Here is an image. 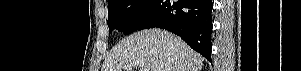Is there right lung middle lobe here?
<instances>
[{"label": "right lung middle lobe", "mask_w": 301, "mask_h": 71, "mask_svg": "<svg viewBox=\"0 0 301 71\" xmlns=\"http://www.w3.org/2000/svg\"><path fill=\"white\" fill-rule=\"evenodd\" d=\"M157 0H109V31L117 29L125 34L142 30Z\"/></svg>", "instance_id": "1"}]
</instances>
